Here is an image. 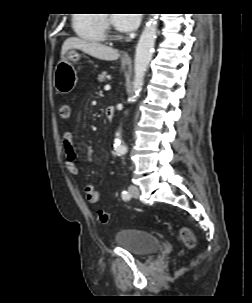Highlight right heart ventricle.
<instances>
[{"label":"right heart ventricle","instance_id":"e07e8e85","mask_svg":"<svg viewBox=\"0 0 252 303\" xmlns=\"http://www.w3.org/2000/svg\"><path fill=\"white\" fill-rule=\"evenodd\" d=\"M73 26L82 37L96 41L105 38V21L102 14H78L73 18Z\"/></svg>","mask_w":252,"mask_h":303}]
</instances>
